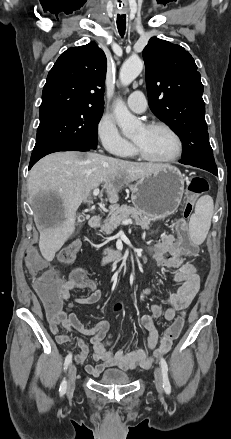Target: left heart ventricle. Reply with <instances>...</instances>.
<instances>
[{"label":"left heart ventricle","mask_w":231,"mask_h":439,"mask_svg":"<svg viewBox=\"0 0 231 439\" xmlns=\"http://www.w3.org/2000/svg\"><path fill=\"white\" fill-rule=\"evenodd\" d=\"M132 141L153 158L170 157L176 150L175 140L164 129L148 130L141 127L133 136Z\"/></svg>","instance_id":"b2bd125f"}]
</instances>
